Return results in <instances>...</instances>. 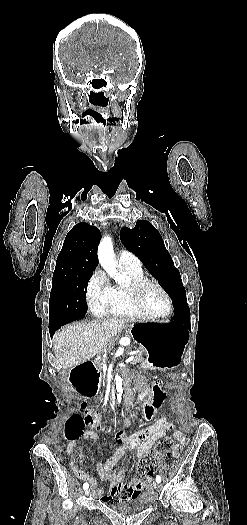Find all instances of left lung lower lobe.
<instances>
[{"instance_id": "1", "label": "left lung lower lobe", "mask_w": 247, "mask_h": 525, "mask_svg": "<svg viewBox=\"0 0 247 525\" xmlns=\"http://www.w3.org/2000/svg\"><path fill=\"white\" fill-rule=\"evenodd\" d=\"M172 319L175 320V323L181 322L190 328V314L174 316Z\"/></svg>"}]
</instances>
